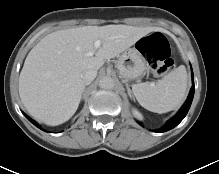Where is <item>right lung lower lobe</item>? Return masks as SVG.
<instances>
[{"label": "right lung lower lobe", "instance_id": "98d812e1", "mask_svg": "<svg viewBox=\"0 0 219 174\" xmlns=\"http://www.w3.org/2000/svg\"><path fill=\"white\" fill-rule=\"evenodd\" d=\"M27 118H28V117H27ZM28 119H29L36 127L42 129L38 123H36L35 121H33V120L30 119V118H28ZM42 130H43V129H42Z\"/></svg>", "mask_w": 219, "mask_h": 174}]
</instances>
